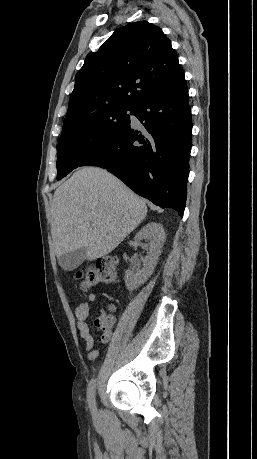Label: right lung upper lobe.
<instances>
[{"instance_id":"cb5924a9","label":"right lung upper lobe","mask_w":257,"mask_h":459,"mask_svg":"<svg viewBox=\"0 0 257 459\" xmlns=\"http://www.w3.org/2000/svg\"><path fill=\"white\" fill-rule=\"evenodd\" d=\"M183 74L163 31L147 21L117 29L99 50L87 55L63 128L113 107H136Z\"/></svg>"}]
</instances>
